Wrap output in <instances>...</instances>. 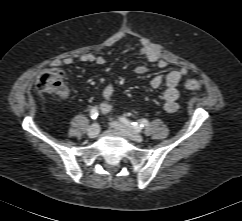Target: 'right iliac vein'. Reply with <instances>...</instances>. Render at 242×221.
Listing matches in <instances>:
<instances>
[{
    "instance_id": "1",
    "label": "right iliac vein",
    "mask_w": 242,
    "mask_h": 221,
    "mask_svg": "<svg viewBox=\"0 0 242 221\" xmlns=\"http://www.w3.org/2000/svg\"><path fill=\"white\" fill-rule=\"evenodd\" d=\"M88 136L90 138H95L99 133V125L97 123L92 124L88 129Z\"/></svg>"
}]
</instances>
